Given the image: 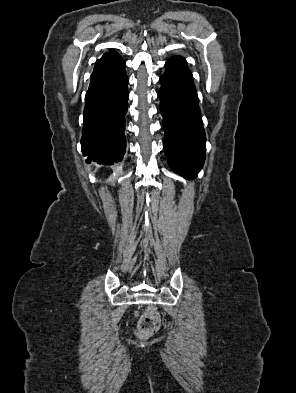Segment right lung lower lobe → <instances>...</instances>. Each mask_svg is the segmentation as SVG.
<instances>
[{
    "label": "right lung lower lobe",
    "instance_id": "98d812e1",
    "mask_svg": "<svg viewBox=\"0 0 296 393\" xmlns=\"http://www.w3.org/2000/svg\"><path fill=\"white\" fill-rule=\"evenodd\" d=\"M83 114L81 147L86 162L110 165L122 160L126 150L125 114L128 77L125 62L115 51L96 61Z\"/></svg>",
    "mask_w": 296,
    "mask_h": 393
}]
</instances>
